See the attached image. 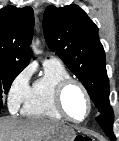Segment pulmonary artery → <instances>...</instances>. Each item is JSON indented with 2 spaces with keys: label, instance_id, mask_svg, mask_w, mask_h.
Returning a JSON list of instances; mask_svg holds the SVG:
<instances>
[{
  "label": "pulmonary artery",
  "instance_id": "e3ab8cb5",
  "mask_svg": "<svg viewBox=\"0 0 119 141\" xmlns=\"http://www.w3.org/2000/svg\"><path fill=\"white\" fill-rule=\"evenodd\" d=\"M46 60L48 61H58L55 57L49 56L48 58H46Z\"/></svg>",
  "mask_w": 119,
  "mask_h": 141
}]
</instances>
